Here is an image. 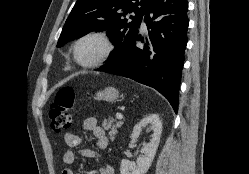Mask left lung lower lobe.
<instances>
[{
	"label": "left lung lower lobe",
	"instance_id": "1",
	"mask_svg": "<svg viewBox=\"0 0 249 174\" xmlns=\"http://www.w3.org/2000/svg\"><path fill=\"white\" fill-rule=\"evenodd\" d=\"M187 0H151L144 21L148 37L139 48L137 36L125 47L113 65L98 69L131 78L159 91L178 110V91L187 45Z\"/></svg>",
	"mask_w": 249,
	"mask_h": 174
}]
</instances>
